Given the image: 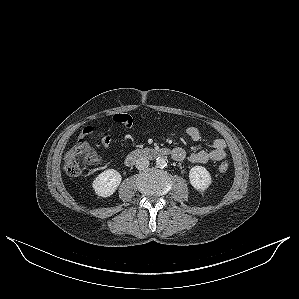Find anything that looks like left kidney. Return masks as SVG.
<instances>
[{
	"label": "left kidney",
	"mask_w": 299,
	"mask_h": 299,
	"mask_svg": "<svg viewBox=\"0 0 299 299\" xmlns=\"http://www.w3.org/2000/svg\"><path fill=\"white\" fill-rule=\"evenodd\" d=\"M190 184L199 191L206 190L211 182V176L208 170L202 166H194L189 171Z\"/></svg>",
	"instance_id": "obj_1"
}]
</instances>
